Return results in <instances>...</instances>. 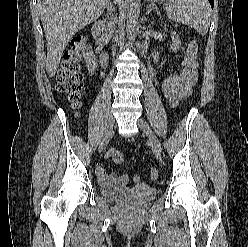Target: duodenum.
<instances>
[{
  "instance_id": "1",
  "label": "duodenum",
  "mask_w": 248,
  "mask_h": 247,
  "mask_svg": "<svg viewBox=\"0 0 248 247\" xmlns=\"http://www.w3.org/2000/svg\"><path fill=\"white\" fill-rule=\"evenodd\" d=\"M102 27H103L102 23L97 22L93 27V33H94V36H95V39H96L98 46L101 48V55H100L101 56V62L103 64V66H107L108 62H109V53L105 49V38L101 34Z\"/></svg>"
}]
</instances>
